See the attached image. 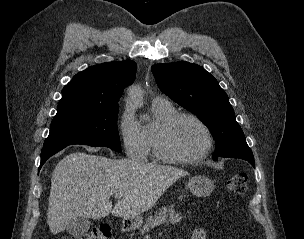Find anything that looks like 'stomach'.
Wrapping results in <instances>:
<instances>
[{
    "label": "stomach",
    "mask_w": 304,
    "mask_h": 239,
    "mask_svg": "<svg viewBox=\"0 0 304 239\" xmlns=\"http://www.w3.org/2000/svg\"><path fill=\"white\" fill-rule=\"evenodd\" d=\"M190 192L197 197H205L211 194L214 189L213 181L202 175L193 176L188 181ZM133 228H139L142 224V219L137 217L132 221Z\"/></svg>",
    "instance_id": "1"
}]
</instances>
